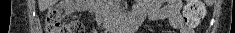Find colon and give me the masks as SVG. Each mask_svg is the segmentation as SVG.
<instances>
[{"instance_id": "colon-1", "label": "colon", "mask_w": 235, "mask_h": 33, "mask_svg": "<svg viewBox=\"0 0 235 33\" xmlns=\"http://www.w3.org/2000/svg\"><path fill=\"white\" fill-rule=\"evenodd\" d=\"M185 23L189 27H196L204 16V7L200 0H187L183 10ZM47 33H84L85 27L79 21L63 23L61 11L52 8L45 19Z\"/></svg>"}]
</instances>
